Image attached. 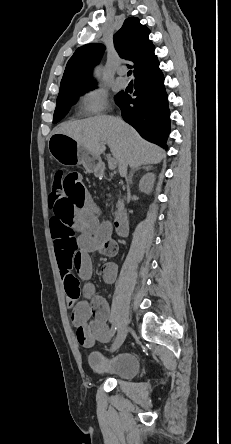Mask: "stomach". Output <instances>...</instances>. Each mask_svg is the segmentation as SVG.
<instances>
[{"label":"stomach","mask_w":231,"mask_h":444,"mask_svg":"<svg viewBox=\"0 0 231 444\" xmlns=\"http://www.w3.org/2000/svg\"><path fill=\"white\" fill-rule=\"evenodd\" d=\"M48 147L51 156L61 164H82L88 172H97L101 166L100 157L92 154L65 134H53Z\"/></svg>","instance_id":"obj_1"}]
</instances>
